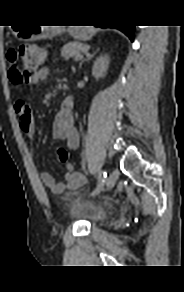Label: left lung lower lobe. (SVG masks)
<instances>
[{
    "label": "left lung lower lobe",
    "mask_w": 184,
    "mask_h": 292,
    "mask_svg": "<svg viewBox=\"0 0 184 292\" xmlns=\"http://www.w3.org/2000/svg\"><path fill=\"white\" fill-rule=\"evenodd\" d=\"M100 27H102V28H106V27L117 28V29L121 30L122 32H124L133 41L134 26H100Z\"/></svg>",
    "instance_id": "1"
}]
</instances>
